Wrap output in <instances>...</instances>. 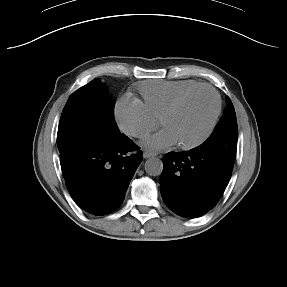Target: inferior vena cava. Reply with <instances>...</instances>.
<instances>
[{
  "label": "inferior vena cava",
  "mask_w": 287,
  "mask_h": 287,
  "mask_svg": "<svg viewBox=\"0 0 287 287\" xmlns=\"http://www.w3.org/2000/svg\"><path fill=\"white\" fill-rule=\"evenodd\" d=\"M129 134L132 136H139L141 134V131L139 129H131L129 131Z\"/></svg>",
  "instance_id": "602c4592"
}]
</instances>
